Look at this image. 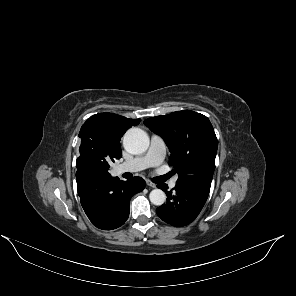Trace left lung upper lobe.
I'll return each instance as SVG.
<instances>
[{"instance_id":"left-lung-upper-lobe-1","label":"left lung upper lobe","mask_w":296,"mask_h":296,"mask_svg":"<svg viewBox=\"0 0 296 296\" xmlns=\"http://www.w3.org/2000/svg\"><path fill=\"white\" fill-rule=\"evenodd\" d=\"M144 124L166 142L172 171L179 174L176 185L211 186L217 138L206 116L183 110L148 118Z\"/></svg>"}]
</instances>
